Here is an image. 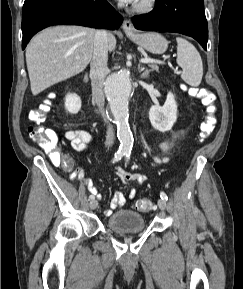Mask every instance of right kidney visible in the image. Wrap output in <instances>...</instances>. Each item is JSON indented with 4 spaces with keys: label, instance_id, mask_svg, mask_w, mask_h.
<instances>
[{
    "label": "right kidney",
    "instance_id": "1",
    "mask_svg": "<svg viewBox=\"0 0 243 289\" xmlns=\"http://www.w3.org/2000/svg\"><path fill=\"white\" fill-rule=\"evenodd\" d=\"M65 109L71 113L76 114L81 109V99L77 94H67L65 97Z\"/></svg>",
    "mask_w": 243,
    "mask_h": 289
}]
</instances>
